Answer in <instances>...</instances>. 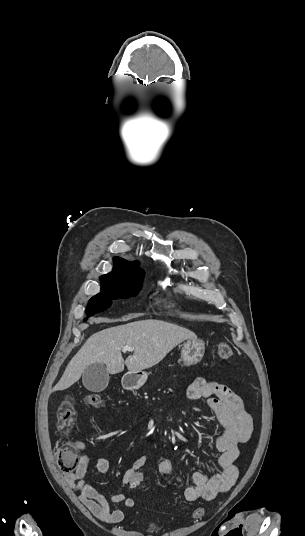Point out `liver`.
<instances>
[{"mask_svg":"<svg viewBox=\"0 0 305 536\" xmlns=\"http://www.w3.org/2000/svg\"><path fill=\"white\" fill-rule=\"evenodd\" d=\"M142 316L136 314L135 318ZM114 322V320H105ZM194 332L161 320H140L125 326L107 328L88 338L81 350L69 362L61 380L51 392L67 390L80 380L85 368L91 364H105L108 374L123 372L124 364L129 372H140L159 364L168 352L184 340H196ZM123 346L133 348L132 356L125 362Z\"/></svg>","mask_w":305,"mask_h":536,"instance_id":"6515ba94","label":"liver"}]
</instances>
